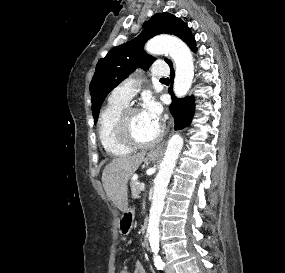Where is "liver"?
Returning a JSON list of instances; mask_svg holds the SVG:
<instances>
[{
    "instance_id": "1",
    "label": "liver",
    "mask_w": 285,
    "mask_h": 273,
    "mask_svg": "<svg viewBox=\"0 0 285 273\" xmlns=\"http://www.w3.org/2000/svg\"><path fill=\"white\" fill-rule=\"evenodd\" d=\"M146 152L113 159L102 173L104 190L122 212L128 210V180L144 160Z\"/></svg>"
}]
</instances>
